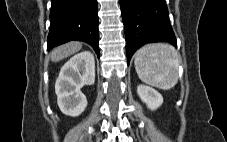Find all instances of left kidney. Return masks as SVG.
I'll list each match as a JSON object with an SVG mask.
<instances>
[{"instance_id": "1", "label": "left kidney", "mask_w": 227, "mask_h": 142, "mask_svg": "<svg viewBox=\"0 0 227 142\" xmlns=\"http://www.w3.org/2000/svg\"><path fill=\"white\" fill-rule=\"evenodd\" d=\"M137 93L140 99L151 110H156L163 103L162 95L152 87L146 85H139L137 87Z\"/></svg>"}]
</instances>
